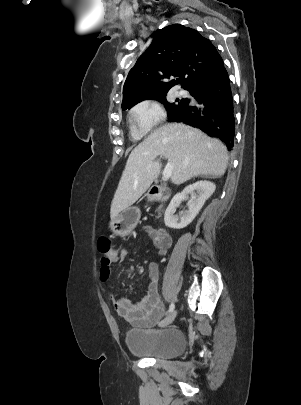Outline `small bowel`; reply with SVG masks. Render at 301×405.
<instances>
[{"label": "small bowel", "mask_w": 301, "mask_h": 405, "mask_svg": "<svg viewBox=\"0 0 301 405\" xmlns=\"http://www.w3.org/2000/svg\"><path fill=\"white\" fill-rule=\"evenodd\" d=\"M144 231L156 244L159 253L164 255L170 246H160L157 244L158 232L147 226ZM125 260L124 252H118L112 249L107 258H101V266L99 270L100 280L106 282L111 275V265L113 263H121ZM150 284L140 298L136 302L129 301L123 297H117L114 291H109V297L113 303L118 315L125 321L136 327H150L164 314L165 306L160 299L157 290L158 267L156 263L149 265Z\"/></svg>", "instance_id": "small-bowel-1"}]
</instances>
